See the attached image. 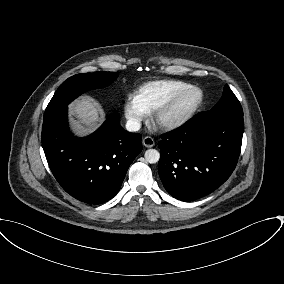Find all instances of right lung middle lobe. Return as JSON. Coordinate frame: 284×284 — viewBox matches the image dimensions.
Masks as SVG:
<instances>
[{
    "label": "right lung middle lobe",
    "instance_id": "obj_1",
    "mask_svg": "<svg viewBox=\"0 0 284 284\" xmlns=\"http://www.w3.org/2000/svg\"><path fill=\"white\" fill-rule=\"evenodd\" d=\"M117 77L113 72L83 73L74 75L65 80L55 92L49 102L44 118H47L58 110L67 107L76 97L82 93L100 87H105Z\"/></svg>",
    "mask_w": 284,
    "mask_h": 284
}]
</instances>
